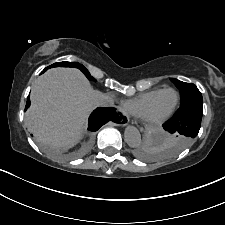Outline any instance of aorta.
<instances>
[{"label": "aorta", "instance_id": "obj_1", "mask_svg": "<svg viewBox=\"0 0 225 225\" xmlns=\"http://www.w3.org/2000/svg\"><path fill=\"white\" fill-rule=\"evenodd\" d=\"M125 142L130 147H137L141 143V135L137 128L128 126L124 132Z\"/></svg>", "mask_w": 225, "mask_h": 225}]
</instances>
